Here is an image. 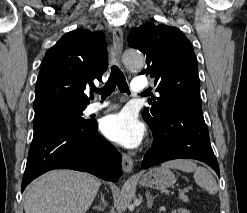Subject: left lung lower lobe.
Returning <instances> with one entry per match:
<instances>
[{
	"mask_svg": "<svg viewBox=\"0 0 247 213\" xmlns=\"http://www.w3.org/2000/svg\"><path fill=\"white\" fill-rule=\"evenodd\" d=\"M151 130L155 139L144 157L142 168L187 158L208 164L220 176L202 112L188 110L181 103L175 102Z\"/></svg>",
	"mask_w": 247,
	"mask_h": 213,
	"instance_id": "obj_1",
	"label": "left lung lower lobe"
}]
</instances>
